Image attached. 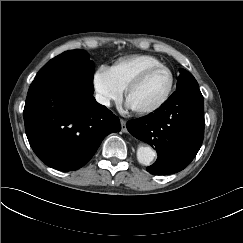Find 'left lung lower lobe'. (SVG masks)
<instances>
[{
  "instance_id": "0a47b994",
  "label": "left lung lower lobe",
  "mask_w": 243,
  "mask_h": 243,
  "mask_svg": "<svg viewBox=\"0 0 243 243\" xmlns=\"http://www.w3.org/2000/svg\"><path fill=\"white\" fill-rule=\"evenodd\" d=\"M204 101L198 86L177 89L154 113L127 123L136 138L155 147L158 158L147 171L167 175L186 168L204 136Z\"/></svg>"
}]
</instances>
